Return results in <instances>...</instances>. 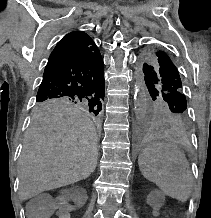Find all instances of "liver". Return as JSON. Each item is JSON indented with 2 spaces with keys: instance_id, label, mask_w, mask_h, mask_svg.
<instances>
[{
  "instance_id": "1",
  "label": "liver",
  "mask_w": 211,
  "mask_h": 218,
  "mask_svg": "<svg viewBox=\"0 0 211 218\" xmlns=\"http://www.w3.org/2000/svg\"><path fill=\"white\" fill-rule=\"evenodd\" d=\"M97 134L73 108H39L33 114L18 164L20 200L85 180L97 166Z\"/></svg>"
}]
</instances>
